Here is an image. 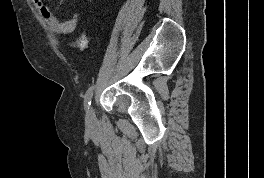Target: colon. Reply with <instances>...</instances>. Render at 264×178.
Here are the masks:
<instances>
[{
	"instance_id": "colon-1",
	"label": "colon",
	"mask_w": 264,
	"mask_h": 178,
	"mask_svg": "<svg viewBox=\"0 0 264 178\" xmlns=\"http://www.w3.org/2000/svg\"><path fill=\"white\" fill-rule=\"evenodd\" d=\"M89 39L85 32H82L78 38L73 42V45L80 52H85L88 49Z\"/></svg>"
}]
</instances>
